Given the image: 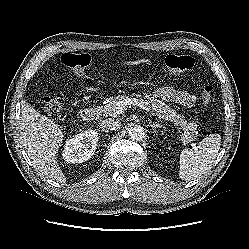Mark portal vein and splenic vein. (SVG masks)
<instances>
[{
  "label": "portal vein and splenic vein",
  "instance_id": "obj_1",
  "mask_svg": "<svg viewBox=\"0 0 249 249\" xmlns=\"http://www.w3.org/2000/svg\"><path fill=\"white\" fill-rule=\"evenodd\" d=\"M129 105L139 106L140 108H142L143 110H145L147 112L150 110L147 103L144 102L143 100H139V99H136V98H127V99L121 101L117 105L118 114L123 113L126 110V107L129 106Z\"/></svg>",
  "mask_w": 249,
  "mask_h": 249
}]
</instances>
